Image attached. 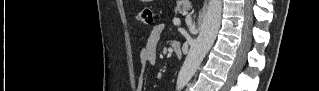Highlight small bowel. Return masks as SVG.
<instances>
[{
	"instance_id": "c3829d8e",
	"label": "small bowel",
	"mask_w": 319,
	"mask_h": 91,
	"mask_svg": "<svg viewBox=\"0 0 319 91\" xmlns=\"http://www.w3.org/2000/svg\"><path fill=\"white\" fill-rule=\"evenodd\" d=\"M164 31V24L159 23L155 25L145 43L144 47L140 51V66L142 72H144L147 66H153L157 63V47L158 42ZM142 82V76H141Z\"/></svg>"
}]
</instances>
